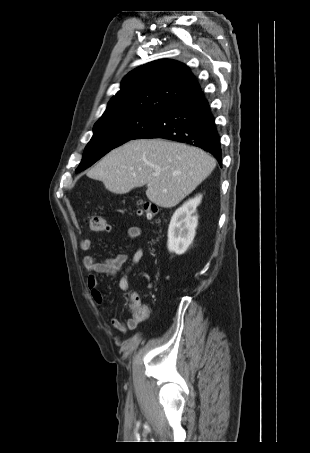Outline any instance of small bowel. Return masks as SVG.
I'll list each match as a JSON object with an SVG mask.
<instances>
[{"label": "small bowel", "mask_w": 310, "mask_h": 453, "mask_svg": "<svg viewBox=\"0 0 310 453\" xmlns=\"http://www.w3.org/2000/svg\"><path fill=\"white\" fill-rule=\"evenodd\" d=\"M142 234V229L138 226H131L127 229V237L131 240H137L141 238ZM93 242V238H84L80 241L79 245L82 250H89L91 249ZM143 255L144 250L140 247L137 248L133 253L127 267H125V265L128 262V255L125 253L117 254L112 258H107L102 261H99L95 256H85L83 258V265L89 273L86 283L92 300L98 305H101L103 303V295L98 288L97 274L113 277L120 272H123L122 276L119 279V288L124 293H128L130 290L129 274L132 271L133 267L141 261ZM132 297L139 298L137 294H132L131 298ZM144 319L145 318H137L132 314L131 317H129L125 321L114 317L111 319V324L117 331L126 333L129 330H134Z\"/></svg>", "instance_id": "c3829d8e"}]
</instances>
